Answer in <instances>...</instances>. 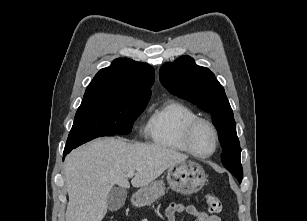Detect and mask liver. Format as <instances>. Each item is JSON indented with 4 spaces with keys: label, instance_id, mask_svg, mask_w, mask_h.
Listing matches in <instances>:
<instances>
[{
    "label": "liver",
    "instance_id": "liver-1",
    "mask_svg": "<svg viewBox=\"0 0 307 221\" xmlns=\"http://www.w3.org/2000/svg\"><path fill=\"white\" fill-rule=\"evenodd\" d=\"M187 158L160 145L116 138H100L79 147L65 160L69 196L66 221H102L113 186L130 187L128 172H136L131 180L133 187H144Z\"/></svg>",
    "mask_w": 307,
    "mask_h": 221
}]
</instances>
